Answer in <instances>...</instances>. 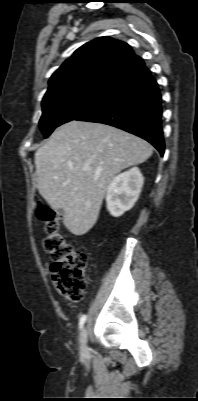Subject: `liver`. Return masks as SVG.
I'll return each instance as SVG.
<instances>
[{
	"label": "liver",
	"mask_w": 198,
	"mask_h": 401,
	"mask_svg": "<svg viewBox=\"0 0 198 401\" xmlns=\"http://www.w3.org/2000/svg\"><path fill=\"white\" fill-rule=\"evenodd\" d=\"M153 147L121 129L72 120L58 127L35 153L37 188L65 227L75 235L96 223L111 180L145 162Z\"/></svg>",
	"instance_id": "1"
}]
</instances>
